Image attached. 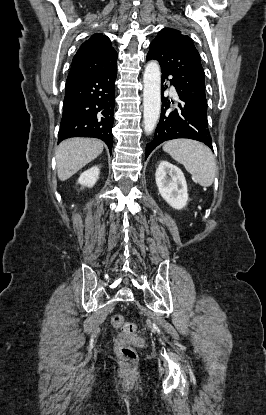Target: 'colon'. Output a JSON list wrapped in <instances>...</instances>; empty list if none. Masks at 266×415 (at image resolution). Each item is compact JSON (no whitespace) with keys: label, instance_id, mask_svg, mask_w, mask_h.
I'll list each match as a JSON object with an SVG mask.
<instances>
[{"label":"colon","instance_id":"1","mask_svg":"<svg viewBox=\"0 0 266 415\" xmlns=\"http://www.w3.org/2000/svg\"><path fill=\"white\" fill-rule=\"evenodd\" d=\"M111 324L115 329L120 330L124 335H131L136 331V325L128 322L120 314H114L111 317ZM115 352L125 362L133 363L138 359L136 351L127 345L123 340H117L115 343Z\"/></svg>","mask_w":266,"mask_h":415}]
</instances>
